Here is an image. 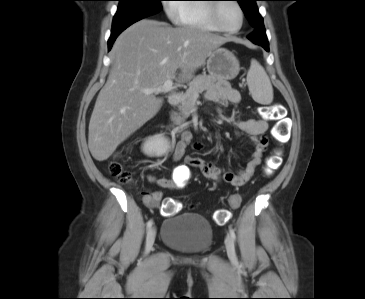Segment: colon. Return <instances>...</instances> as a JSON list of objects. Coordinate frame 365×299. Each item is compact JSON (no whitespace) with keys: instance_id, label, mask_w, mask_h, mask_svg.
<instances>
[{"instance_id":"5ec220e1","label":"colon","mask_w":365,"mask_h":299,"mask_svg":"<svg viewBox=\"0 0 365 299\" xmlns=\"http://www.w3.org/2000/svg\"><path fill=\"white\" fill-rule=\"evenodd\" d=\"M283 107L281 105H268L262 107V113L266 120L275 121L276 125L273 129L272 135L275 140L282 142L288 134V125L283 117ZM281 157L278 153L272 155L264 168L266 176H271L274 171L280 166ZM109 173L117 179L122 185H132L134 180L131 173L126 169L123 163L119 160H114L109 164ZM181 182L186 181V177L182 176ZM146 197V195H144ZM241 202L240 196H233L230 199L232 208H237ZM180 209V204L175 200H166L162 207L161 213L164 216H171L176 214ZM230 218V212L227 209H218L213 213V219L217 224H225Z\"/></svg>"}]
</instances>
